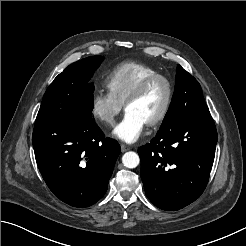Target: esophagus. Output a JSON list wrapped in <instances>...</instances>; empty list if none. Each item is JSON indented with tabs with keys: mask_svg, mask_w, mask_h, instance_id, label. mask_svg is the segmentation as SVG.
Wrapping results in <instances>:
<instances>
[{
	"mask_svg": "<svg viewBox=\"0 0 246 246\" xmlns=\"http://www.w3.org/2000/svg\"><path fill=\"white\" fill-rule=\"evenodd\" d=\"M130 149H131L130 146H127V145H125V144H121V151H122V152H126V151H128V150H130Z\"/></svg>",
	"mask_w": 246,
	"mask_h": 246,
	"instance_id": "esophagus-1",
	"label": "esophagus"
}]
</instances>
